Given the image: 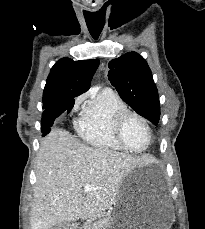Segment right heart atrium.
I'll list each match as a JSON object with an SVG mask.
<instances>
[{
  "instance_id": "obj_1",
  "label": "right heart atrium",
  "mask_w": 205,
  "mask_h": 229,
  "mask_svg": "<svg viewBox=\"0 0 205 229\" xmlns=\"http://www.w3.org/2000/svg\"><path fill=\"white\" fill-rule=\"evenodd\" d=\"M86 95L82 94L80 96H78L75 101H74V105H73V110L77 111L79 109V107L81 106V104L83 103V101L85 100Z\"/></svg>"
}]
</instances>
